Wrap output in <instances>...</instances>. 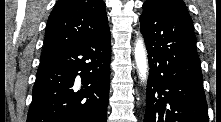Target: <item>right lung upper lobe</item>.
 <instances>
[{
  "mask_svg": "<svg viewBox=\"0 0 221 122\" xmlns=\"http://www.w3.org/2000/svg\"><path fill=\"white\" fill-rule=\"evenodd\" d=\"M108 28L103 0H59L48 18L41 60L77 46Z\"/></svg>",
  "mask_w": 221,
  "mask_h": 122,
  "instance_id": "cb5924a9",
  "label": "right lung upper lobe"
}]
</instances>
